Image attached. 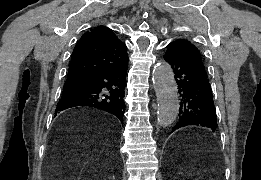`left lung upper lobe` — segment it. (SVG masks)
Returning <instances> with one entry per match:
<instances>
[{"instance_id":"left-lung-upper-lobe-1","label":"left lung upper lobe","mask_w":261,"mask_h":180,"mask_svg":"<svg viewBox=\"0 0 261 180\" xmlns=\"http://www.w3.org/2000/svg\"><path fill=\"white\" fill-rule=\"evenodd\" d=\"M171 45H177L180 46L182 48L185 49V51L188 53V55L192 58V60L198 64L203 65L202 63V58L200 55V52L198 51V49L191 44L189 41H185V40H176L172 43H170Z\"/></svg>"}]
</instances>
